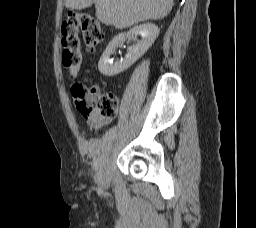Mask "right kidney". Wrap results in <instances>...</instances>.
<instances>
[{
    "label": "right kidney",
    "instance_id": "obj_1",
    "mask_svg": "<svg viewBox=\"0 0 256 228\" xmlns=\"http://www.w3.org/2000/svg\"><path fill=\"white\" fill-rule=\"evenodd\" d=\"M159 31L158 26L155 24L145 23L133 27L127 35L121 33L114 37L109 42L106 50L99 60L98 69L101 74L111 77L127 70L147 52L158 37ZM138 35L141 36V40L137 41L133 47L128 49V53L124 58L117 62L111 61L110 55L115 50L116 46L125 40V37H132L136 39Z\"/></svg>",
    "mask_w": 256,
    "mask_h": 228
}]
</instances>
